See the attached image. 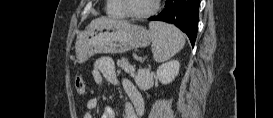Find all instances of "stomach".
I'll list each match as a JSON object with an SVG mask.
<instances>
[{
    "label": "stomach",
    "instance_id": "stomach-1",
    "mask_svg": "<svg viewBox=\"0 0 273 118\" xmlns=\"http://www.w3.org/2000/svg\"><path fill=\"white\" fill-rule=\"evenodd\" d=\"M150 42V32L144 27L125 21H114L80 33L75 44V59L82 63L95 54L124 53L149 46Z\"/></svg>",
    "mask_w": 273,
    "mask_h": 118
}]
</instances>
